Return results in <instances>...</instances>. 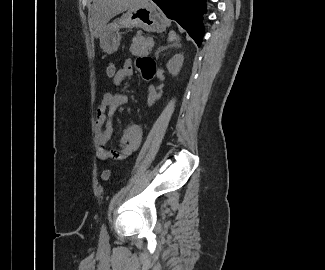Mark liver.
I'll list each match as a JSON object with an SVG mask.
<instances>
[{
    "label": "liver",
    "mask_w": 325,
    "mask_h": 270,
    "mask_svg": "<svg viewBox=\"0 0 325 270\" xmlns=\"http://www.w3.org/2000/svg\"><path fill=\"white\" fill-rule=\"evenodd\" d=\"M147 2L148 0H93L91 27L95 38H101L103 29L115 15Z\"/></svg>",
    "instance_id": "liver-1"
}]
</instances>
